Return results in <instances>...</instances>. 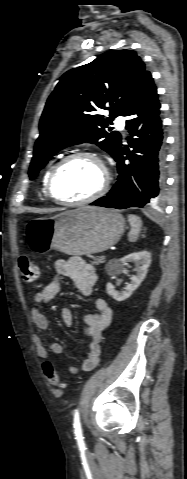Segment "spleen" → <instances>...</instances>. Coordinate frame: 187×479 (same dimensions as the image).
<instances>
[{
    "label": "spleen",
    "mask_w": 187,
    "mask_h": 479,
    "mask_svg": "<svg viewBox=\"0 0 187 479\" xmlns=\"http://www.w3.org/2000/svg\"><path fill=\"white\" fill-rule=\"evenodd\" d=\"M128 222L131 226L130 232L128 233V239L130 242H135L138 239L142 228V220L136 215L129 214Z\"/></svg>",
    "instance_id": "spleen-1"
}]
</instances>
